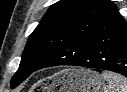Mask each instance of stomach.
I'll list each match as a JSON object with an SVG mask.
<instances>
[{
	"instance_id": "obj_1",
	"label": "stomach",
	"mask_w": 127,
	"mask_h": 92,
	"mask_svg": "<svg viewBox=\"0 0 127 92\" xmlns=\"http://www.w3.org/2000/svg\"><path fill=\"white\" fill-rule=\"evenodd\" d=\"M104 88L101 75L85 68H66L50 79L51 92H100Z\"/></svg>"
}]
</instances>
